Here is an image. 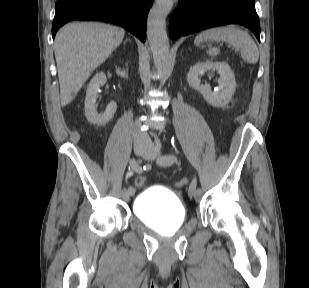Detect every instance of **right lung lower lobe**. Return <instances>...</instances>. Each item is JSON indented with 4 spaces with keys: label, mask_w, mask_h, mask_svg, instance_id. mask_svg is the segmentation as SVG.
Segmentation results:
<instances>
[{
    "label": "right lung lower lobe",
    "mask_w": 309,
    "mask_h": 288,
    "mask_svg": "<svg viewBox=\"0 0 309 288\" xmlns=\"http://www.w3.org/2000/svg\"><path fill=\"white\" fill-rule=\"evenodd\" d=\"M153 0H57L52 36L72 20H100L115 23L146 40V18Z\"/></svg>",
    "instance_id": "obj_1"
}]
</instances>
